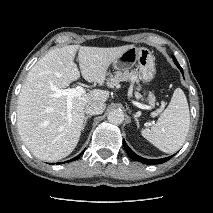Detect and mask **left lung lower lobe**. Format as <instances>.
I'll list each match as a JSON object with an SVG mask.
<instances>
[{"mask_svg": "<svg viewBox=\"0 0 213 213\" xmlns=\"http://www.w3.org/2000/svg\"><path fill=\"white\" fill-rule=\"evenodd\" d=\"M178 68L180 69V71L183 74V70L181 68V66H178ZM123 146L128 154V156L132 159V160H136V161H140L142 163L148 164V165H156V164H162L166 161H168L169 159H171L173 156H169L166 158H162V159H145L143 157L138 156L136 153H134L126 144V142L123 140Z\"/></svg>", "mask_w": 213, "mask_h": 213, "instance_id": "0a47b994", "label": "left lung lower lobe"}]
</instances>
